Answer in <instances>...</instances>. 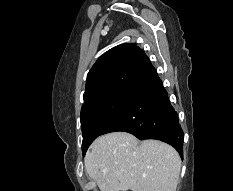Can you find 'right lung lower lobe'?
<instances>
[{"mask_svg": "<svg viewBox=\"0 0 233 191\" xmlns=\"http://www.w3.org/2000/svg\"><path fill=\"white\" fill-rule=\"evenodd\" d=\"M124 108L100 135L124 131L140 140L157 139L172 145L183 157V130L155 68L149 63L129 88Z\"/></svg>", "mask_w": 233, "mask_h": 191, "instance_id": "right-lung-lower-lobe-1", "label": "right lung lower lobe"}]
</instances>
